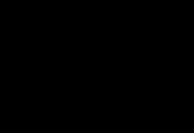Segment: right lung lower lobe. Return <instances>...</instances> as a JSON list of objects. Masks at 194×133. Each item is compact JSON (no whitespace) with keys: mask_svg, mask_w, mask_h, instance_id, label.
Masks as SVG:
<instances>
[{"mask_svg":"<svg viewBox=\"0 0 194 133\" xmlns=\"http://www.w3.org/2000/svg\"><path fill=\"white\" fill-rule=\"evenodd\" d=\"M66 26L24 25L0 39V76L32 106L52 108L72 94V77L85 64V46L66 43Z\"/></svg>","mask_w":194,"mask_h":133,"instance_id":"98d812e1","label":"right lung lower lobe"}]
</instances>
